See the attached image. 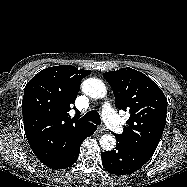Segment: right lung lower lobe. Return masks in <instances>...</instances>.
<instances>
[{"instance_id": "obj_1", "label": "right lung lower lobe", "mask_w": 187, "mask_h": 187, "mask_svg": "<svg viewBox=\"0 0 187 187\" xmlns=\"http://www.w3.org/2000/svg\"><path fill=\"white\" fill-rule=\"evenodd\" d=\"M96 129L97 127L92 130H89L88 132L79 137L72 139V141L70 142V148L66 156L46 166L52 169H64L73 165L78 158L81 143L86 137L91 136L96 131Z\"/></svg>"}]
</instances>
